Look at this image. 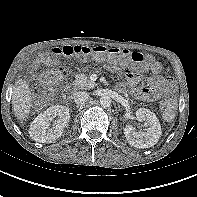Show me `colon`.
<instances>
[{"label":"colon","instance_id":"1","mask_svg":"<svg viewBox=\"0 0 197 197\" xmlns=\"http://www.w3.org/2000/svg\"><path fill=\"white\" fill-rule=\"evenodd\" d=\"M60 57H93L96 60H108L110 62L126 61L132 62L138 68H145L152 64V57L140 52H130L119 48H107L104 46H80L67 45L63 47H54L43 54L39 61L52 65ZM64 78V72L61 69L47 71L43 74L40 83L34 88V94L37 97L48 95L53 86L58 84ZM176 102L174 99H167L163 103V118L171 121L175 117Z\"/></svg>","mask_w":197,"mask_h":197}]
</instances>
